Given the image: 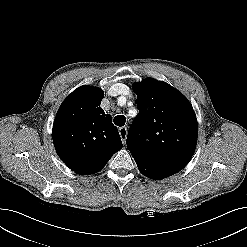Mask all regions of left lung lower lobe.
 <instances>
[{
    "label": "left lung lower lobe",
    "mask_w": 247,
    "mask_h": 247,
    "mask_svg": "<svg viewBox=\"0 0 247 247\" xmlns=\"http://www.w3.org/2000/svg\"><path fill=\"white\" fill-rule=\"evenodd\" d=\"M140 172L151 179H163L171 176L179 171L176 168L162 167L154 164H150L144 160L134 159Z\"/></svg>",
    "instance_id": "left-lung-lower-lobe-1"
}]
</instances>
